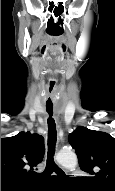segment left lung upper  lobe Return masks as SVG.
Masks as SVG:
<instances>
[{"label":"left lung upper lobe","instance_id":"obj_1","mask_svg":"<svg viewBox=\"0 0 115 191\" xmlns=\"http://www.w3.org/2000/svg\"><path fill=\"white\" fill-rule=\"evenodd\" d=\"M86 181L102 191H115V139L108 133L77 127L69 134Z\"/></svg>","mask_w":115,"mask_h":191}]
</instances>
